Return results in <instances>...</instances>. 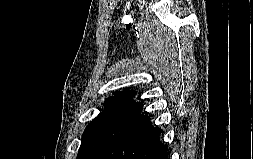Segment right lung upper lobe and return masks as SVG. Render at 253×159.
I'll list each match as a JSON object with an SVG mask.
<instances>
[{"label": "right lung upper lobe", "instance_id": "1", "mask_svg": "<svg viewBox=\"0 0 253 159\" xmlns=\"http://www.w3.org/2000/svg\"><path fill=\"white\" fill-rule=\"evenodd\" d=\"M135 95V92L132 90H126L123 92H118L116 93L113 97L110 98H126V99H131Z\"/></svg>", "mask_w": 253, "mask_h": 159}]
</instances>
